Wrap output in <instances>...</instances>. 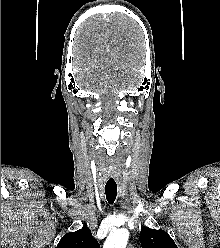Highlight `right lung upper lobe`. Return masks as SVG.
<instances>
[{
    "mask_svg": "<svg viewBox=\"0 0 220 248\" xmlns=\"http://www.w3.org/2000/svg\"><path fill=\"white\" fill-rule=\"evenodd\" d=\"M56 248H100L87 227L65 234Z\"/></svg>",
    "mask_w": 220,
    "mask_h": 248,
    "instance_id": "1",
    "label": "right lung upper lobe"
}]
</instances>
